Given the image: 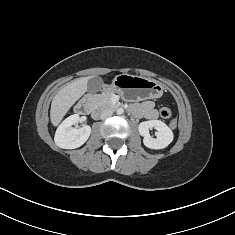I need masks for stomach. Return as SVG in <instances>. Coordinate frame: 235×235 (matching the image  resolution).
<instances>
[{
    "instance_id": "0dacf381",
    "label": "stomach",
    "mask_w": 235,
    "mask_h": 235,
    "mask_svg": "<svg viewBox=\"0 0 235 235\" xmlns=\"http://www.w3.org/2000/svg\"><path fill=\"white\" fill-rule=\"evenodd\" d=\"M106 89L118 93L125 100L142 101L160 98L163 95L164 87L160 82L151 78L120 74Z\"/></svg>"
}]
</instances>
